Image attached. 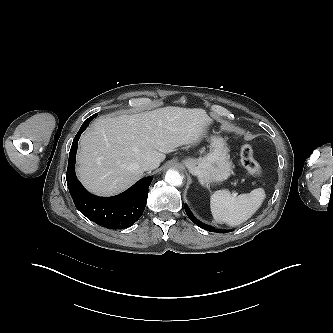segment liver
Returning a JSON list of instances; mask_svg holds the SVG:
<instances>
[{
  "label": "liver",
  "instance_id": "liver-1",
  "mask_svg": "<svg viewBox=\"0 0 333 333\" xmlns=\"http://www.w3.org/2000/svg\"><path fill=\"white\" fill-rule=\"evenodd\" d=\"M211 125L200 109L164 107L102 116L80 138L77 174L92 193L116 195L138 181L147 159L162 162L173 149L198 143Z\"/></svg>",
  "mask_w": 333,
  "mask_h": 333
}]
</instances>
